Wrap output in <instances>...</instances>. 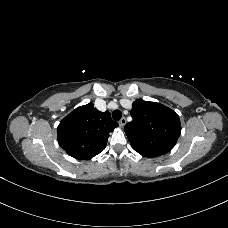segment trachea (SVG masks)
<instances>
[{
  "mask_svg": "<svg viewBox=\"0 0 228 228\" xmlns=\"http://www.w3.org/2000/svg\"><path fill=\"white\" fill-rule=\"evenodd\" d=\"M112 117L114 120L118 121L122 117V112L120 110H114L112 113Z\"/></svg>",
  "mask_w": 228,
  "mask_h": 228,
  "instance_id": "3493384b",
  "label": "trachea"
}]
</instances>
